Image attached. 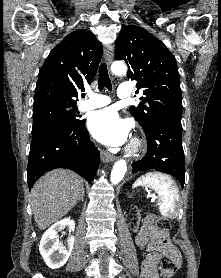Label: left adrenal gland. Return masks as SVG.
<instances>
[{
    "instance_id": "a2214340",
    "label": "left adrenal gland",
    "mask_w": 221,
    "mask_h": 278,
    "mask_svg": "<svg viewBox=\"0 0 221 278\" xmlns=\"http://www.w3.org/2000/svg\"><path fill=\"white\" fill-rule=\"evenodd\" d=\"M132 196H133V195L131 194V195H129L128 197H129V198H132Z\"/></svg>"
}]
</instances>
